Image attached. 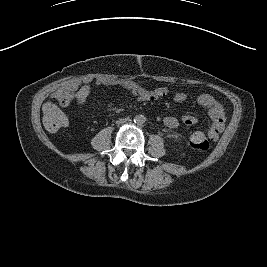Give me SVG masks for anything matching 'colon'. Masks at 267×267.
Instances as JSON below:
<instances>
[{"mask_svg": "<svg viewBox=\"0 0 267 267\" xmlns=\"http://www.w3.org/2000/svg\"><path fill=\"white\" fill-rule=\"evenodd\" d=\"M42 115L44 126L49 131H58L67 123L65 113L61 111L58 105L54 102H46L43 104ZM211 140L212 139L208 134L197 132L191 137V145L195 149L204 151L209 149Z\"/></svg>", "mask_w": 267, "mask_h": 267, "instance_id": "1", "label": "colon"}]
</instances>
